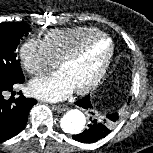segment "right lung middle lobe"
<instances>
[{
    "label": "right lung middle lobe",
    "mask_w": 153,
    "mask_h": 153,
    "mask_svg": "<svg viewBox=\"0 0 153 153\" xmlns=\"http://www.w3.org/2000/svg\"><path fill=\"white\" fill-rule=\"evenodd\" d=\"M31 31L25 23H0V77L9 80L23 78L16 49L23 36Z\"/></svg>",
    "instance_id": "obj_1"
}]
</instances>
